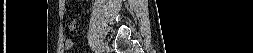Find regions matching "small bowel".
I'll list each match as a JSON object with an SVG mask.
<instances>
[{
	"instance_id": "1",
	"label": "small bowel",
	"mask_w": 253,
	"mask_h": 53,
	"mask_svg": "<svg viewBox=\"0 0 253 53\" xmlns=\"http://www.w3.org/2000/svg\"><path fill=\"white\" fill-rule=\"evenodd\" d=\"M75 28V22L72 21L70 24H69V29L72 30ZM64 46L67 50L71 49L72 46H73V42L69 39H67L65 42H64Z\"/></svg>"
}]
</instances>
